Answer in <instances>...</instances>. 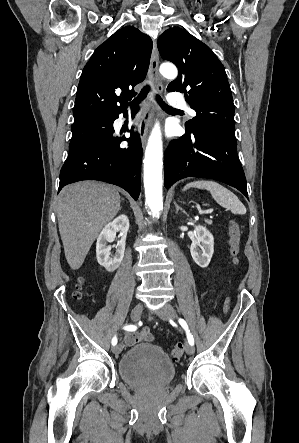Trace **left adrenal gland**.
<instances>
[{"mask_svg":"<svg viewBox=\"0 0 299 443\" xmlns=\"http://www.w3.org/2000/svg\"><path fill=\"white\" fill-rule=\"evenodd\" d=\"M174 205L176 207V213L180 210L182 211L184 214H186L185 210H183L175 201H174Z\"/></svg>","mask_w":299,"mask_h":443,"instance_id":"left-adrenal-gland-1","label":"left adrenal gland"}]
</instances>
